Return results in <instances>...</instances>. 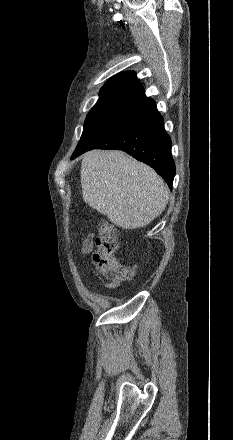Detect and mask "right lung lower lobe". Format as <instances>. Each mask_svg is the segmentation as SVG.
I'll return each mask as SVG.
<instances>
[{"label":"right lung lower lobe","mask_w":233,"mask_h":440,"mask_svg":"<svg viewBox=\"0 0 233 440\" xmlns=\"http://www.w3.org/2000/svg\"><path fill=\"white\" fill-rule=\"evenodd\" d=\"M171 140L153 99L141 96L79 141L71 159L94 149H118L150 165L172 187L175 164Z\"/></svg>","instance_id":"1"}]
</instances>
